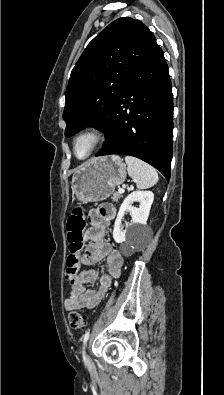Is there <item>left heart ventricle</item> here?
Wrapping results in <instances>:
<instances>
[{"label":"left heart ventricle","mask_w":224,"mask_h":395,"mask_svg":"<svg viewBox=\"0 0 224 395\" xmlns=\"http://www.w3.org/2000/svg\"><path fill=\"white\" fill-rule=\"evenodd\" d=\"M91 146V139L88 137L81 138L76 145V155L84 157L89 152Z\"/></svg>","instance_id":"b2bd125f"}]
</instances>
